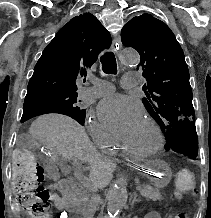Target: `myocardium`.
<instances>
[{"label": "myocardium", "instance_id": "myocardium-1", "mask_svg": "<svg viewBox=\"0 0 211 218\" xmlns=\"http://www.w3.org/2000/svg\"><path fill=\"white\" fill-rule=\"evenodd\" d=\"M144 121H146L152 127L156 135L157 142L153 149L147 152H139V151L129 148L126 145L125 141L121 142V148L123 152L129 155L130 157L139 159V160H144V159L154 157L163 146V135H162V131L160 127L158 126V124L152 118H146Z\"/></svg>", "mask_w": 211, "mask_h": 218}]
</instances>
